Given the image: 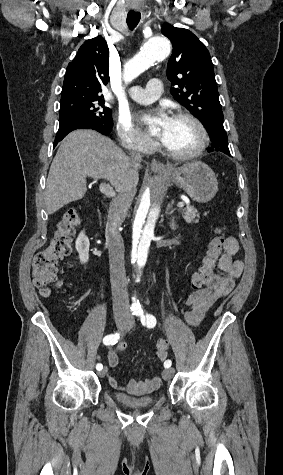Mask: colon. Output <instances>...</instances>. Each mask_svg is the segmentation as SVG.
I'll return each instance as SVG.
<instances>
[{"mask_svg":"<svg viewBox=\"0 0 283 475\" xmlns=\"http://www.w3.org/2000/svg\"><path fill=\"white\" fill-rule=\"evenodd\" d=\"M79 224V215L75 209H67L57 224L54 236L49 244L39 249L32 261V275L41 295L48 296L52 286L58 283L57 263L70 255L72 239ZM225 245V233L221 226L215 228L214 236L197 271L193 275L192 289L199 291L201 285L210 281ZM169 346L167 338H160L155 345L156 361L163 363Z\"/></svg>","mask_w":283,"mask_h":475,"instance_id":"colon-1","label":"colon"}]
</instances>
